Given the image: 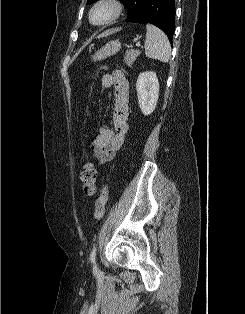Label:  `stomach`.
Masks as SVG:
<instances>
[{"instance_id":"0dacf381","label":"stomach","mask_w":245,"mask_h":314,"mask_svg":"<svg viewBox=\"0 0 245 314\" xmlns=\"http://www.w3.org/2000/svg\"><path fill=\"white\" fill-rule=\"evenodd\" d=\"M121 49V43L119 40L109 41L102 48H100L93 56V61H100L115 55Z\"/></svg>"}]
</instances>
